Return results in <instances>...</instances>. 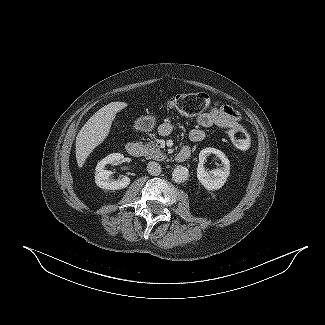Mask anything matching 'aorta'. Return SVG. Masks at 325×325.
I'll use <instances>...</instances> for the list:
<instances>
[{
  "label": "aorta",
  "instance_id": "aorta-1",
  "mask_svg": "<svg viewBox=\"0 0 325 325\" xmlns=\"http://www.w3.org/2000/svg\"><path fill=\"white\" fill-rule=\"evenodd\" d=\"M188 169L184 166H177L172 171V179L175 182L181 183L188 179Z\"/></svg>",
  "mask_w": 325,
  "mask_h": 325
}]
</instances>
